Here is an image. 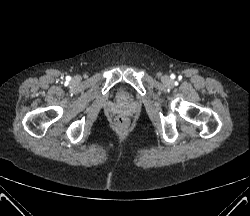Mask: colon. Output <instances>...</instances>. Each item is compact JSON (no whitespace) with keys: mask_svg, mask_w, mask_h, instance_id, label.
<instances>
[{"mask_svg":"<svg viewBox=\"0 0 250 216\" xmlns=\"http://www.w3.org/2000/svg\"><path fill=\"white\" fill-rule=\"evenodd\" d=\"M115 124H116L117 128L123 129V128L126 127V120H125L124 117L119 116V117L116 118Z\"/></svg>","mask_w":250,"mask_h":216,"instance_id":"obj_1","label":"colon"}]
</instances>
